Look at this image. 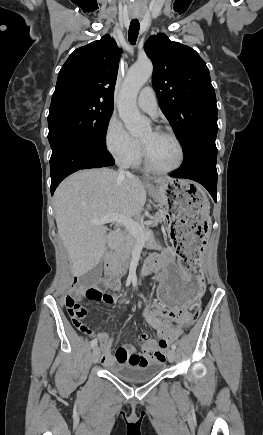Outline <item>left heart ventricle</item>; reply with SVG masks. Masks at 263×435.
I'll return each instance as SVG.
<instances>
[{
  "label": "left heart ventricle",
  "mask_w": 263,
  "mask_h": 435,
  "mask_svg": "<svg viewBox=\"0 0 263 435\" xmlns=\"http://www.w3.org/2000/svg\"><path fill=\"white\" fill-rule=\"evenodd\" d=\"M152 164L160 169L171 168L179 161V150L175 142L154 131H147L141 138Z\"/></svg>",
  "instance_id": "left-heart-ventricle-1"
}]
</instances>
